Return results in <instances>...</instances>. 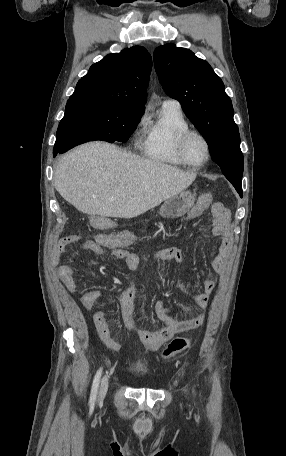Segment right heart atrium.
<instances>
[{"label":"right heart atrium","mask_w":286,"mask_h":456,"mask_svg":"<svg viewBox=\"0 0 286 456\" xmlns=\"http://www.w3.org/2000/svg\"><path fill=\"white\" fill-rule=\"evenodd\" d=\"M143 120H144V119H142V120L140 121V124L143 122Z\"/></svg>","instance_id":"right-heart-atrium-1"}]
</instances>
